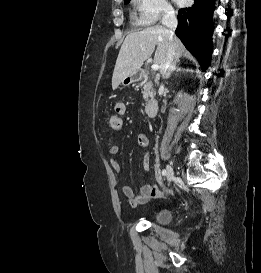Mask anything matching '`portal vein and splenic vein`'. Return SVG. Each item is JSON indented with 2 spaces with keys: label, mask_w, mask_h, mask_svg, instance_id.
<instances>
[{
  "label": "portal vein and splenic vein",
  "mask_w": 261,
  "mask_h": 273,
  "mask_svg": "<svg viewBox=\"0 0 261 273\" xmlns=\"http://www.w3.org/2000/svg\"><path fill=\"white\" fill-rule=\"evenodd\" d=\"M142 50H144V49H142ZM151 68H152L153 71H157L160 67H159L158 64L154 63V64L151 66Z\"/></svg>",
  "instance_id": "portal-vein-and-splenic-vein-1"
}]
</instances>
